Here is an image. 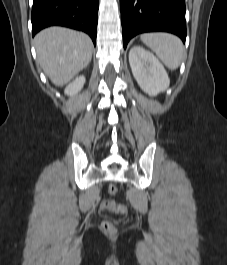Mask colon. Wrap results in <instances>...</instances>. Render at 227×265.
I'll return each instance as SVG.
<instances>
[{"label": "colon", "mask_w": 227, "mask_h": 265, "mask_svg": "<svg viewBox=\"0 0 227 265\" xmlns=\"http://www.w3.org/2000/svg\"><path fill=\"white\" fill-rule=\"evenodd\" d=\"M107 191L110 195L114 196L117 193V187L114 184H110L107 187ZM102 210L112 211L117 214H125L126 208L123 205L117 204L113 200H104L101 203ZM102 230L108 234L116 232V227L111 221H104L102 223Z\"/></svg>", "instance_id": "colon-1"}]
</instances>
